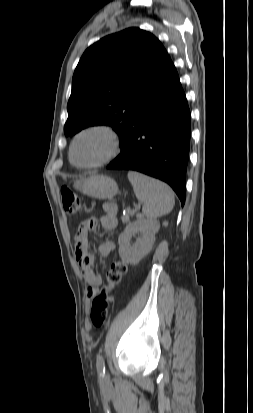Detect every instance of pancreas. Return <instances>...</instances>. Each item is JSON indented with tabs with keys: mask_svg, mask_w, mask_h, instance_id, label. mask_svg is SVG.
I'll list each match as a JSON object with an SVG mask.
<instances>
[{
	"mask_svg": "<svg viewBox=\"0 0 253 413\" xmlns=\"http://www.w3.org/2000/svg\"><path fill=\"white\" fill-rule=\"evenodd\" d=\"M131 215H133V214H132V211H129L127 215H123V216L121 217L122 222H123V223L129 222V217H130Z\"/></svg>",
	"mask_w": 253,
	"mask_h": 413,
	"instance_id": "pancreas-1",
	"label": "pancreas"
}]
</instances>
